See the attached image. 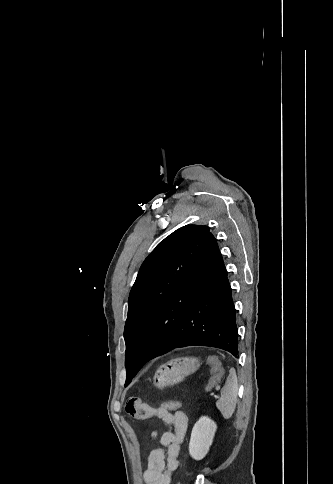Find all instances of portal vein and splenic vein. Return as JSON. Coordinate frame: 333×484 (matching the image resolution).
Returning a JSON list of instances; mask_svg holds the SVG:
<instances>
[{
  "label": "portal vein and splenic vein",
  "mask_w": 333,
  "mask_h": 484,
  "mask_svg": "<svg viewBox=\"0 0 333 484\" xmlns=\"http://www.w3.org/2000/svg\"><path fill=\"white\" fill-rule=\"evenodd\" d=\"M210 396H212V397H217V395H216V394H214V393H210Z\"/></svg>",
  "instance_id": "portal-vein-and-splenic-vein-1"
}]
</instances>
